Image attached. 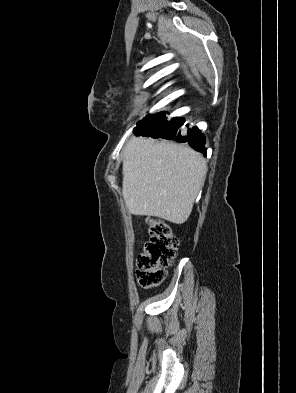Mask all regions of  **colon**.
<instances>
[{
    "mask_svg": "<svg viewBox=\"0 0 296 393\" xmlns=\"http://www.w3.org/2000/svg\"><path fill=\"white\" fill-rule=\"evenodd\" d=\"M147 225L149 238L137 259V277L142 287L150 289L164 280L166 268L176 257L178 241L163 219L148 217Z\"/></svg>",
    "mask_w": 296,
    "mask_h": 393,
    "instance_id": "colon-1",
    "label": "colon"
}]
</instances>
